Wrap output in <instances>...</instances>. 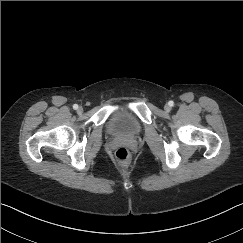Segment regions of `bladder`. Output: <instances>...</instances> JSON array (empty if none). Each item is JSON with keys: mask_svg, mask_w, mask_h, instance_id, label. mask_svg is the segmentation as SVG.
I'll return each mask as SVG.
<instances>
[{"mask_svg": "<svg viewBox=\"0 0 243 243\" xmlns=\"http://www.w3.org/2000/svg\"><path fill=\"white\" fill-rule=\"evenodd\" d=\"M143 131L141 121L130 111L117 109L106 121V132L115 138H133Z\"/></svg>", "mask_w": 243, "mask_h": 243, "instance_id": "31cf9c89", "label": "bladder"}]
</instances>
